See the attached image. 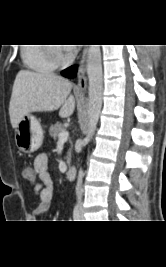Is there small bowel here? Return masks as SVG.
Returning a JSON list of instances; mask_svg holds the SVG:
<instances>
[{
  "mask_svg": "<svg viewBox=\"0 0 166 267\" xmlns=\"http://www.w3.org/2000/svg\"><path fill=\"white\" fill-rule=\"evenodd\" d=\"M48 155L41 153L36 156L33 163V173L37 177L34 184V191L38 196L39 202L35 209L27 214L29 219H34L46 213L51 207V201L54 194V182L48 171ZM24 173V171H23Z\"/></svg>",
  "mask_w": 166,
  "mask_h": 267,
  "instance_id": "obj_1",
  "label": "small bowel"
}]
</instances>
